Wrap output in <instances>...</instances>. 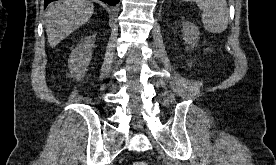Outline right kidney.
Returning a JSON list of instances; mask_svg holds the SVG:
<instances>
[{
    "label": "right kidney",
    "mask_w": 276,
    "mask_h": 165,
    "mask_svg": "<svg viewBox=\"0 0 276 165\" xmlns=\"http://www.w3.org/2000/svg\"><path fill=\"white\" fill-rule=\"evenodd\" d=\"M95 36L86 37L72 50L68 60L69 70L73 77L80 79L87 71L92 57Z\"/></svg>",
    "instance_id": "ca27d5eb"
}]
</instances>
